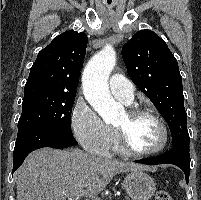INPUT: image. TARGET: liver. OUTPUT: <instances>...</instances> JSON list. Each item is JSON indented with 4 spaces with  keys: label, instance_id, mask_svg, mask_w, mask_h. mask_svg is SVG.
I'll use <instances>...</instances> for the list:
<instances>
[{
    "label": "liver",
    "instance_id": "liver-1",
    "mask_svg": "<svg viewBox=\"0 0 201 200\" xmlns=\"http://www.w3.org/2000/svg\"><path fill=\"white\" fill-rule=\"evenodd\" d=\"M144 165L70 151L42 148L32 152L16 172L17 200H66L102 191L123 172L143 171Z\"/></svg>",
    "mask_w": 201,
    "mask_h": 200
}]
</instances>
